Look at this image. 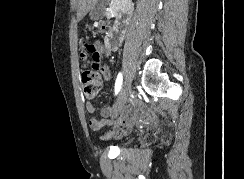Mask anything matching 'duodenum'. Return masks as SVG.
<instances>
[{"instance_id": "1", "label": "duodenum", "mask_w": 244, "mask_h": 179, "mask_svg": "<svg viewBox=\"0 0 244 179\" xmlns=\"http://www.w3.org/2000/svg\"><path fill=\"white\" fill-rule=\"evenodd\" d=\"M134 2L130 0H118L115 2L113 14L116 21H120L115 32L105 37V43L111 47L120 46L122 38L127 31L128 21L133 12Z\"/></svg>"}]
</instances>
